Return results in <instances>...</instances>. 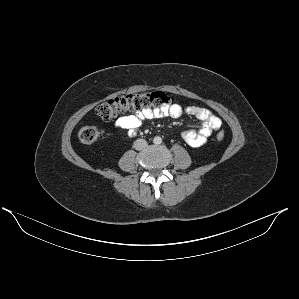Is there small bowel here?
Returning a JSON list of instances; mask_svg holds the SVG:
<instances>
[{"instance_id":"small-bowel-1","label":"small bowel","mask_w":299,"mask_h":299,"mask_svg":"<svg viewBox=\"0 0 299 299\" xmlns=\"http://www.w3.org/2000/svg\"><path fill=\"white\" fill-rule=\"evenodd\" d=\"M182 114L195 117L201 125L197 129L184 130L181 138L192 147H200L207 142L213 132L221 127V120L208 109L198 106H181L173 104L159 109H144L132 115L121 116L115 120V127L124 131L128 136H134L143 121L158 119L166 116L179 118Z\"/></svg>"}]
</instances>
